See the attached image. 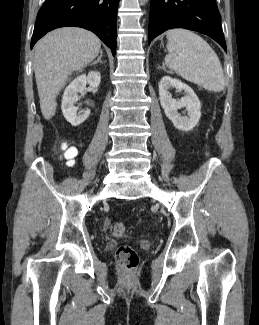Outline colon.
<instances>
[{
  "instance_id": "5ec220e1",
  "label": "colon",
  "mask_w": 259,
  "mask_h": 325,
  "mask_svg": "<svg viewBox=\"0 0 259 325\" xmlns=\"http://www.w3.org/2000/svg\"><path fill=\"white\" fill-rule=\"evenodd\" d=\"M63 156L67 161L69 166L73 165L75 156L77 152L68 147L67 145H62ZM107 230L113 237L120 238L125 236L127 233V226L121 222H109L107 225ZM116 261L120 267L125 270H133L138 265V255L136 251L129 245H121L116 250Z\"/></svg>"
}]
</instances>
